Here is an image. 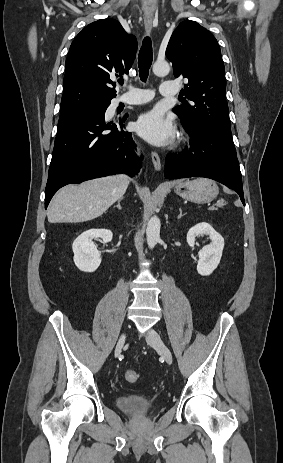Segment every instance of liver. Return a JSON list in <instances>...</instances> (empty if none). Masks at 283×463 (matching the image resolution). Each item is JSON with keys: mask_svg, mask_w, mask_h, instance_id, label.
Returning a JSON list of instances; mask_svg holds the SVG:
<instances>
[{"mask_svg": "<svg viewBox=\"0 0 283 463\" xmlns=\"http://www.w3.org/2000/svg\"><path fill=\"white\" fill-rule=\"evenodd\" d=\"M130 179L113 175L61 188L47 211L50 223H80L101 216L125 194Z\"/></svg>", "mask_w": 283, "mask_h": 463, "instance_id": "obj_1", "label": "liver"}]
</instances>
